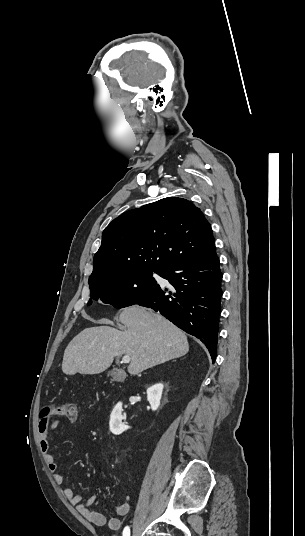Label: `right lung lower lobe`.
Segmentation results:
<instances>
[{"mask_svg": "<svg viewBox=\"0 0 305 536\" xmlns=\"http://www.w3.org/2000/svg\"><path fill=\"white\" fill-rule=\"evenodd\" d=\"M176 292L167 295L158 284L137 302L152 308L185 332L200 339L214 362L222 296V273L215 245L206 252L175 263L163 271Z\"/></svg>", "mask_w": 305, "mask_h": 536, "instance_id": "1", "label": "right lung lower lobe"}]
</instances>
